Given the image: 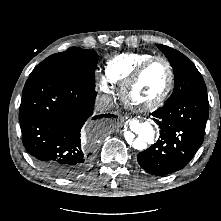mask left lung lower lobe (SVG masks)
Listing matches in <instances>:
<instances>
[{
    "label": "left lung lower lobe",
    "mask_w": 221,
    "mask_h": 221,
    "mask_svg": "<svg viewBox=\"0 0 221 221\" xmlns=\"http://www.w3.org/2000/svg\"><path fill=\"white\" fill-rule=\"evenodd\" d=\"M152 115L159 124V140L138 154V163L152 175H167L185 167L203 143L209 115L207 92L167 101Z\"/></svg>",
    "instance_id": "left-lung-lower-lobe-1"
}]
</instances>
